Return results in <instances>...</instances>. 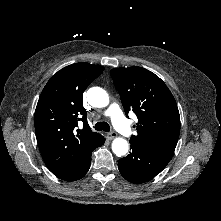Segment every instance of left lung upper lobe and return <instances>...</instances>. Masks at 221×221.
<instances>
[{"instance_id":"5c2ea615","label":"left lung upper lobe","mask_w":221,"mask_h":221,"mask_svg":"<svg viewBox=\"0 0 221 221\" xmlns=\"http://www.w3.org/2000/svg\"><path fill=\"white\" fill-rule=\"evenodd\" d=\"M110 73L127 117L132 110L138 118L137 133L130 142L172 158L180 134V115L168 87L142 67L114 68Z\"/></svg>"}]
</instances>
